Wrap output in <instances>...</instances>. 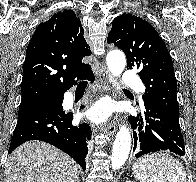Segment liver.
Masks as SVG:
<instances>
[{
    "instance_id": "liver-1",
    "label": "liver",
    "mask_w": 196,
    "mask_h": 182,
    "mask_svg": "<svg viewBox=\"0 0 196 182\" xmlns=\"http://www.w3.org/2000/svg\"><path fill=\"white\" fill-rule=\"evenodd\" d=\"M6 182H77L79 168L67 154L42 141H29L9 156Z\"/></svg>"
}]
</instances>
